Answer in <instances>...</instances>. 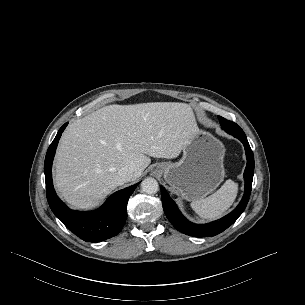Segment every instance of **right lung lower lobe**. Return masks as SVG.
<instances>
[{
    "mask_svg": "<svg viewBox=\"0 0 305 305\" xmlns=\"http://www.w3.org/2000/svg\"><path fill=\"white\" fill-rule=\"evenodd\" d=\"M67 124L60 128L45 157L44 173L47 200L53 213L71 232L84 241L100 242L117 235L123 228L127 218L126 206L137 184L117 191L95 211L80 212L69 209L55 193L51 172L57 144Z\"/></svg>",
    "mask_w": 305,
    "mask_h": 305,
    "instance_id": "1",
    "label": "right lung lower lobe"
}]
</instances>
